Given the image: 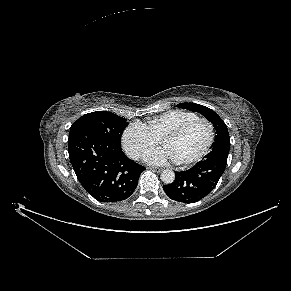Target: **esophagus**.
I'll list each match as a JSON object with an SVG mask.
<instances>
[{"mask_svg": "<svg viewBox=\"0 0 291 291\" xmlns=\"http://www.w3.org/2000/svg\"><path fill=\"white\" fill-rule=\"evenodd\" d=\"M149 169L158 173L162 171V169L158 167H149Z\"/></svg>", "mask_w": 291, "mask_h": 291, "instance_id": "obj_1", "label": "esophagus"}]
</instances>
